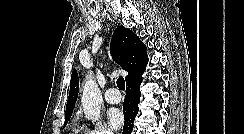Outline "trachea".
<instances>
[{"label":"trachea","mask_w":244,"mask_h":134,"mask_svg":"<svg viewBox=\"0 0 244 134\" xmlns=\"http://www.w3.org/2000/svg\"><path fill=\"white\" fill-rule=\"evenodd\" d=\"M117 86L120 90L124 91L125 90V80L123 77H119L117 80Z\"/></svg>","instance_id":"1"}]
</instances>
